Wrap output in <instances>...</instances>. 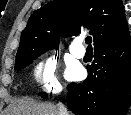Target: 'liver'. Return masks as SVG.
<instances>
[{"instance_id":"6515ba94","label":"liver","mask_w":131,"mask_h":115,"mask_svg":"<svg viewBox=\"0 0 131 115\" xmlns=\"http://www.w3.org/2000/svg\"><path fill=\"white\" fill-rule=\"evenodd\" d=\"M3 113V115H60L55 105L37 103L31 99L15 100Z\"/></svg>"}]
</instances>
